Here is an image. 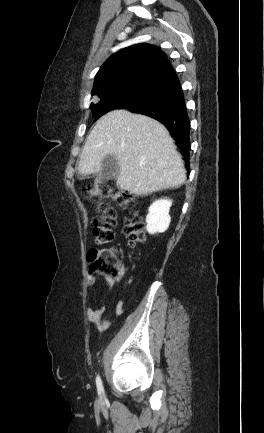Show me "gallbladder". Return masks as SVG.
I'll use <instances>...</instances> for the list:
<instances>
[{"instance_id": "1", "label": "gallbladder", "mask_w": 264, "mask_h": 433, "mask_svg": "<svg viewBox=\"0 0 264 433\" xmlns=\"http://www.w3.org/2000/svg\"><path fill=\"white\" fill-rule=\"evenodd\" d=\"M119 174V162L116 156L109 155L102 162V169L96 175L97 183H105L117 179Z\"/></svg>"}]
</instances>
